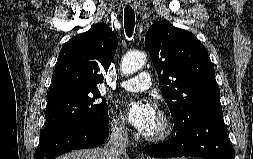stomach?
Here are the masks:
<instances>
[{
	"label": "stomach",
	"instance_id": "1",
	"mask_svg": "<svg viewBox=\"0 0 253 159\" xmlns=\"http://www.w3.org/2000/svg\"><path fill=\"white\" fill-rule=\"evenodd\" d=\"M175 159H187V158L181 157V158H175Z\"/></svg>",
	"mask_w": 253,
	"mask_h": 159
}]
</instances>
